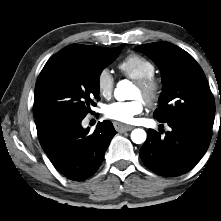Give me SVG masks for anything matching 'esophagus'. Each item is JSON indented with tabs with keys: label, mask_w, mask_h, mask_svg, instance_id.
<instances>
[{
	"label": "esophagus",
	"mask_w": 221,
	"mask_h": 221,
	"mask_svg": "<svg viewBox=\"0 0 221 221\" xmlns=\"http://www.w3.org/2000/svg\"><path fill=\"white\" fill-rule=\"evenodd\" d=\"M114 127H115L116 131H118L120 133H123V132H126V131H131L132 129H134L133 126L124 125V124H121L119 122H114Z\"/></svg>",
	"instance_id": "esophagus-1"
}]
</instances>
